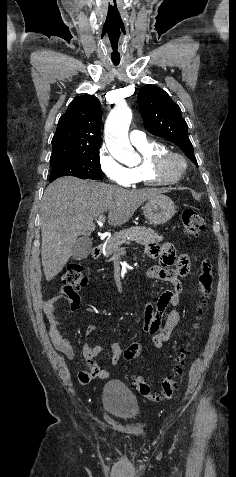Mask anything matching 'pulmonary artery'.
<instances>
[{"label": "pulmonary artery", "mask_w": 236, "mask_h": 477, "mask_svg": "<svg viewBox=\"0 0 236 477\" xmlns=\"http://www.w3.org/2000/svg\"><path fill=\"white\" fill-rule=\"evenodd\" d=\"M129 138L133 145H138L146 141V134L140 130H132Z\"/></svg>", "instance_id": "obj_1"}]
</instances>
